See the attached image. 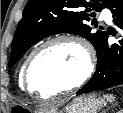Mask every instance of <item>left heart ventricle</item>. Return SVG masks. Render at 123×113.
Wrapping results in <instances>:
<instances>
[{
  "label": "left heart ventricle",
  "instance_id": "b2bd125f",
  "mask_svg": "<svg viewBox=\"0 0 123 113\" xmlns=\"http://www.w3.org/2000/svg\"><path fill=\"white\" fill-rule=\"evenodd\" d=\"M85 69L83 51L72 42L55 43L42 50L30 69L36 93L47 94L75 82Z\"/></svg>",
  "mask_w": 123,
  "mask_h": 113
}]
</instances>
